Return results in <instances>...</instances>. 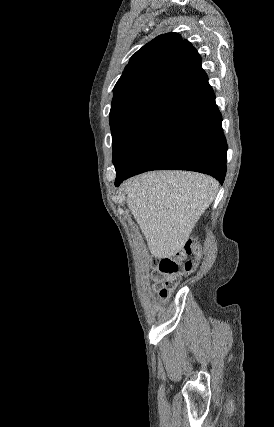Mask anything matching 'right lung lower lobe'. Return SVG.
Listing matches in <instances>:
<instances>
[{"label": "right lung lower lobe", "instance_id": "98d812e1", "mask_svg": "<svg viewBox=\"0 0 274 427\" xmlns=\"http://www.w3.org/2000/svg\"><path fill=\"white\" fill-rule=\"evenodd\" d=\"M222 118L209 84L178 101L128 166H115V185L150 170H191L223 184L227 144Z\"/></svg>", "mask_w": 274, "mask_h": 427}]
</instances>
